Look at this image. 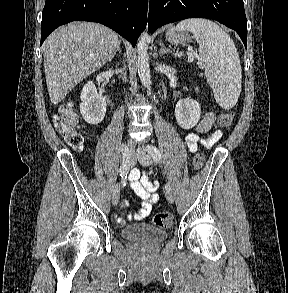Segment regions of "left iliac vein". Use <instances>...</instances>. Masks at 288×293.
<instances>
[{
	"instance_id": "1",
	"label": "left iliac vein",
	"mask_w": 288,
	"mask_h": 293,
	"mask_svg": "<svg viewBox=\"0 0 288 293\" xmlns=\"http://www.w3.org/2000/svg\"><path fill=\"white\" fill-rule=\"evenodd\" d=\"M134 155L136 156V158L138 159V161L143 166H150L151 165L152 158H151V156L147 152H145L143 150H138ZM165 195H166V199L170 203H173L174 202V196H173L172 192L166 191Z\"/></svg>"
}]
</instances>
